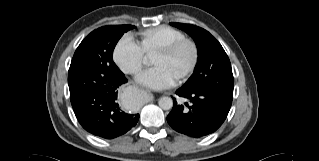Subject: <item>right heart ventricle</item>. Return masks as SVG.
Listing matches in <instances>:
<instances>
[{
    "mask_svg": "<svg viewBox=\"0 0 319 161\" xmlns=\"http://www.w3.org/2000/svg\"><path fill=\"white\" fill-rule=\"evenodd\" d=\"M184 37V33L179 29L169 25H160L142 31L138 45L146 55L150 56L164 45Z\"/></svg>",
    "mask_w": 319,
    "mask_h": 161,
    "instance_id": "e07e8e85",
    "label": "right heart ventricle"
}]
</instances>
